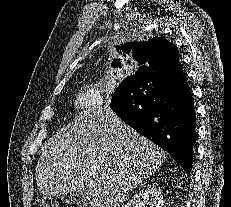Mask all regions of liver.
<instances>
[{
  "mask_svg": "<svg viewBox=\"0 0 231 207\" xmlns=\"http://www.w3.org/2000/svg\"><path fill=\"white\" fill-rule=\"evenodd\" d=\"M165 158L161 148L104 106L79 114L45 143L36 183L44 195L82 192L92 207H120Z\"/></svg>",
  "mask_w": 231,
  "mask_h": 207,
  "instance_id": "liver-1",
  "label": "liver"
}]
</instances>
